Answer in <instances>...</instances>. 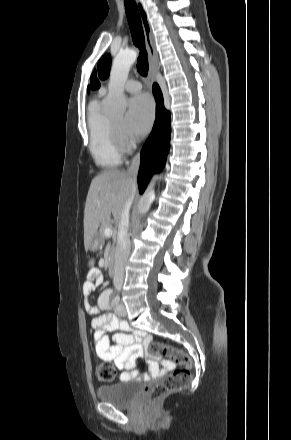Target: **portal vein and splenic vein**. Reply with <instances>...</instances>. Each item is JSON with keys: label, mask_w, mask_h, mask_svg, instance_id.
<instances>
[{"label": "portal vein and splenic vein", "mask_w": 291, "mask_h": 440, "mask_svg": "<svg viewBox=\"0 0 291 440\" xmlns=\"http://www.w3.org/2000/svg\"><path fill=\"white\" fill-rule=\"evenodd\" d=\"M105 236L110 237L113 235V229L112 227H107L104 231Z\"/></svg>", "instance_id": "portal-vein-and-splenic-vein-1"}]
</instances>
